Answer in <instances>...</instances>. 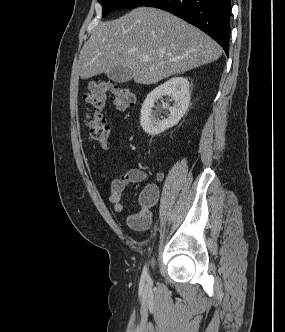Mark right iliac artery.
I'll use <instances>...</instances> for the list:
<instances>
[{
    "label": "right iliac artery",
    "mask_w": 285,
    "mask_h": 332,
    "mask_svg": "<svg viewBox=\"0 0 285 332\" xmlns=\"http://www.w3.org/2000/svg\"><path fill=\"white\" fill-rule=\"evenodd\" d=\"M142 280H145L146 278H148V271H147V266L145 265L143 268V272H142Z\"/></svg>",
    "instance_id": "right-iliac-artery-1"
}]
</instances>
